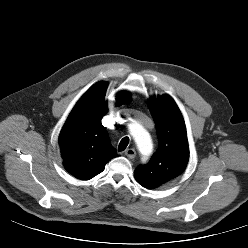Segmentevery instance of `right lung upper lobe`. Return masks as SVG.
Segmentation results:
<instances>
[{
	"mask_svg": "<svg viewBox=\"0 0 248 248\" xmlns=\"http://www.w3.org/2000/svg\"><path fill=\"white\" fill-rule=\"evenodd\" d=\"M106 82L87 90L70 112L59 136L66 170L80 180H89L101 173L106 163L117 156L101 119L107 113L104 95ZM117 105L129 100V93L116 96Z\"/></svg>",
	"mask_w": 248,
	"mask_h": 248,
	"instance_id": "obj_1",
	"label": "right lung upper lobe"
}]
</instances>
